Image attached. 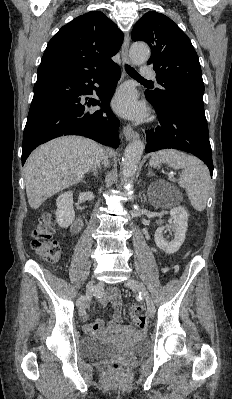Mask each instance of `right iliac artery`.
<instances>
[{
	"label": "right iliac artery",
	"mask_w": 232,
	"mask_h": 399,
	"mask_svg": "<svg viewBox=\"0 0 232 399\" xmlns=\"http://www.w3.org/2000/svg\"><path fill=\"white\" fill-rule=\"evenodd\" d=\"M89 297H90L89 295H81L78 298V300L76 302V305L79 306L82 302H84L85 300L89 299Z\"/></svg>",
	"instance_id": "82829eb1"
}]
</instances>
